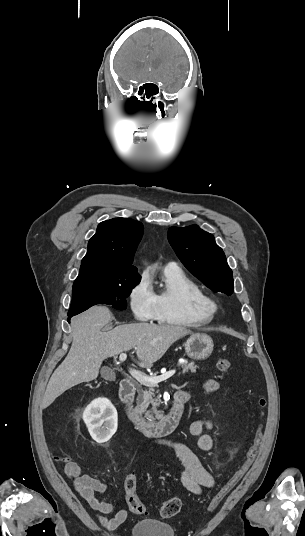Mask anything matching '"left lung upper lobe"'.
<instances>
[{"mask_svg": "<svg viewBox=\"0 0 305 536\" xmlns=\"http://www.w3.org/2000/svg\"><path fill=\"white\" fill-rule=\"evenodd\" d=\"M168 240L184 266L206 286L215 292L233 293L232 270L213 235L197 225L171 227Z\"/></svg>", "mask_w": 305, "mask_h": 536, "instance_id": "1", "label": "left lung upper lobe"}]
</instances>
